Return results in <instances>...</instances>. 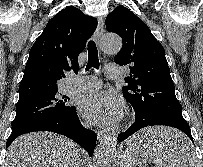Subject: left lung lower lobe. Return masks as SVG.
Here are the masks:
<instances>
[{
    "mask_svg": "<svg viewBox=\"0 0 203 167\" xmlns=\"http://www.w3.org/2000/svg\"><path fill=\"white\" fill-rule=\"evenodd\" d=\"M155 125H163V126H170L179 129L185 134L186 140L184 141V144H188L190 140L193 142V138L191 135V131L189 128L188 123L185 121L182 115L180 114H172V115H166L161 116L157 118H151V119H140L135 117V122L121 135H119L118 141L122 142L138 130L148 127V126H155ZM187 137L190 139H187ZM194 143V142H193ZM183 144V145H184ZM182 145V143H181ZM157 143L155 142L154 138L150 140H143L140 143H136L134 145V148L137 147L142 148H149V147H156Z\"/></svg>",
    "mask_w": 203,
    "mask_h": 167,
    "instance_id": "obj_1",
    "label": "left lung lower lobe"
}]
</instances>
